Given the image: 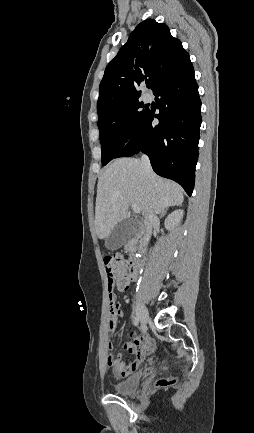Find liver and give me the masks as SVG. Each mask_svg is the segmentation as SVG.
<instances>
[{
    "label": "liver",
    "mask_w": 254,
    "mask_h": 433,
    "mask_svg": "<svg viewBox=\"0 0 254 433\" xmlns=\"http://www.w3.org/2000/svg\"><path fill=\"white\" fill-rule=\"evenodd\" d=\"M182 188L153 171L146 172L136 158H120L111 163L97 184L95 231L107 238L118 222L128 217L131 204L140 207L144 217L158 214L169 206L181 205Z\"/></svg>",
    "instance_id": "obj_1"
}]
</instances>
